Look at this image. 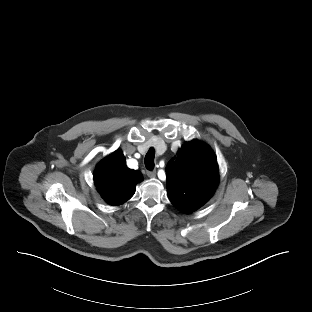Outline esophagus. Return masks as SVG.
Listing matches in <instances>:
<instances>
[{"mask_svg":"<svg viewBox=\"0 0 312 312\" xmlns=\"http://www.w3.org/2000/svg\"><path fill=\"white\" fill-rule=\"evenodd\" d=\"M146 174L148 177L154 178L156 176V171H147Z\"/></svg>","mask_w":312,"mask_h":312,"instance_id":"esophagus-1","label":"esophagus"}]
</instances>
